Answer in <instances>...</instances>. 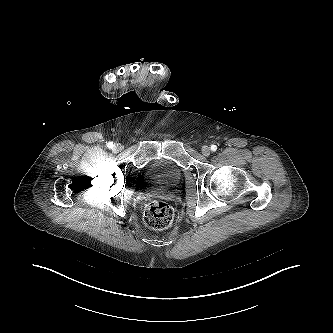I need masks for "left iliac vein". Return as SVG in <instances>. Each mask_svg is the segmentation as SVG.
Segmentation results:
<instances>
[{
    "label": "left iliac vein",
    "instance_id": "obj_1",
    "mask_svg": "<svg viewBox=\"0 0 333 333\" xmlns=\"http://www.w3.org/2000/svg\"><path fill=\"white\" fill-rule=\"evenodd\" d=\"M201 151L204 156H209L211 153L210 148L206 145L202 147Z\"/></svg>",
    "mask_w": 333,
    "mask_h": 333
}]
</instances>
